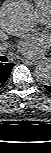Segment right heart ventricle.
I'll return each mask as SVG.
<instances>
[{
	"instance_id": "obj_1",
	"label": "right heart ventricle",
	"mask_w": 51,
	"mask_h": 153,
	"mask_svg": "<svg viewBox=\"0 0 51 153\" xmlns=\"http://www.w3.org/2000/svg\"><path fill=\"white\" fill-rule=\"evenodd\" d=\"M35 6L37 14L43 11L51 12V1L50 0H35Z\"/></svg>"
}]
</instances>
